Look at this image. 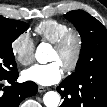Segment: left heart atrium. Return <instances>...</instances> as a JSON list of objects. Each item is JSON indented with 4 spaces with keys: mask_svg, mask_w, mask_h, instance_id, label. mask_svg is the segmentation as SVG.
<instances>
[{
    "mask_svg": "<svg viewBox=\"0 0 107 107\" xmlns=\"http://www.w3.org/2000/svg\"><path fill=\"white\" fill-rule=\"evenodd\" d=\"M62 67L57 61L48 64H36L23 72L25 80L48 86L57 83L62 77Z\"/></svg>",
    "mask_w": 107,
    "mask_h": 107,
    "instance_id": "39dd6f15",
    "label": "left heart atrium"
}]
</instances>
